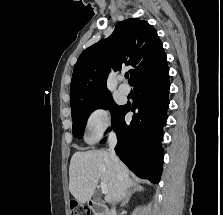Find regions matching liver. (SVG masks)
Listing matches in <instances>:
<instances>
[{
	"label": "liver",
	"mask_w": 223,
	"mask_h": 215,
	"mask_svg": "<svg viewBox=\"0 0 223 215\" xmlns=\"http://www.w3.org/2000/svg\"><path fill=\"white\" fill-rule=\"evenodd\" d=\"M99 179L105 181L108 187V193L105 195L108 203L119 201L129 187L136 185L129 177L128 167L119 159L116 169L109 151H75L69 165V189L75 199L80 203H86L87 199H91Z\"/></svg>",
	"instance_id": "1"
}]
</instances>
